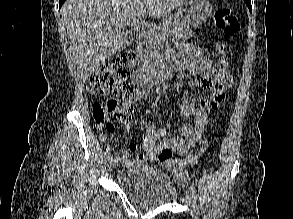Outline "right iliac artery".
I'll list each match as a JSON object with an SVG mask.
<instances>
[{"label": "right iliac artery", "mask_w": 293, "mask_h": 219, "mask_svg": "<svg viewBox=\"0 0 293 219\" xmlns=\"http://www.w3.org/2000/svg\"><path fill=\"white\" fill-rule=\"evenodd\" d=\"M105 157H106V159H112L113 158V156H112V154H111V152H110V149H107L106 150V152H105Z\"/></svg>", "instance_id": "82829eb1"}]
</instances>
